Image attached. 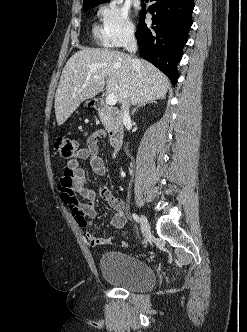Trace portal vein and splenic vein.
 <instances>
[{"label":"portal vein and splenic vein","instance_id":"18ae733b","mask_svg":"<svg viewBox=\"0 0 247 332\" xmlns=\"http://www.w3.org/2000/svg\"><path fill=\"white\" fill-rule=\"evenodd\" d=\"M116 102H117V98H116V96L113 93H110V94L107 95V97H106V103L108 105L113 106V105L116 104Z\"/></svg>","mask_w":247,"mask_h":332}]
</instances>
